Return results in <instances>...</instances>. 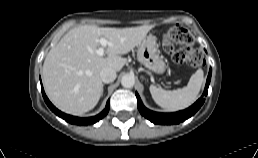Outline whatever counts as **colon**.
<instances>
[{
  "instance_id": "obj_1",
  "label": "colon",
  "mask_w": 258,
  "mask_h": 158,
  "mask_svg": "<svg viewBox=\"0 0 258 158\" xmlns=\"http://www.w3.org/2000/svg\"><path fill=\"white\" fill-rule=\"evenodd\" d=\"M193 41L194 38L188 29L176 25L165 32L162 46L174 62L197 68L203 65V57L191 46Z\"/></svg>"
}]
</instances>
